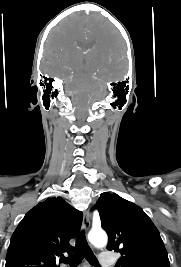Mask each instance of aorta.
<instances>
[{
    "instance_id": "obj_1",
    "label": "aorta",
    "mask_w": 181,
    "mask_h": 267,
    "mask_svg": "<svg viewBox=\"0 0 181 267\" xmlns=\"http://www.w3.org/2000/svg\"><path fill=\"white\" fill-rule=\"evenodd\" d=\"M88 239L96 248H103L108 242L107 234L103 230H91Z\"/></svg>"
}]
</instances>
